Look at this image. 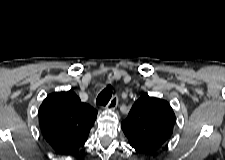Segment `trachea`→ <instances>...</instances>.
Segmentation results:
<instances>
[{
  "instance_id": "3493384b",
  "label": "trachea",
  "mask_w": 225,
  "mask_h": 160,
  "mask_svg": "<svg viewBox=\"0 0 225 160\" xmlns=\"http://www.w3.org/2000/svg\"><path fill=\"white\" fill-rule=\"evenodd\" d=\"M111 97H112V89H111L110 85H108L97 96L96 104L106 106L107 103L109 102V100L111 99Z\"/></svg>"
}]
</instances>
